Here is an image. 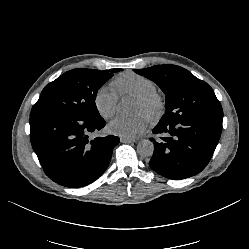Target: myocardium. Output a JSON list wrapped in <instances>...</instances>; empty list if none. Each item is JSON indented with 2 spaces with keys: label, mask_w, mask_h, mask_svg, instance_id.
Here are the masks:
<instances>
[{
  "label": "myocardium",
  "mask_w": 249,
  "mask_h": 249,
  "mask_svg": "<svg viewBox=\"0 0 249 249\" xmlns=\"http://www.w3.org/2000/svg\"><path fill=\"white\" fill-rule=\"evenodd\" d=\"M137 101L143 105L145 117L152 125L158 124L166 113V101L156 91L137 96Z\"/></svg>",
  "instance_id": "myocardium-1"
}]
</instances>
